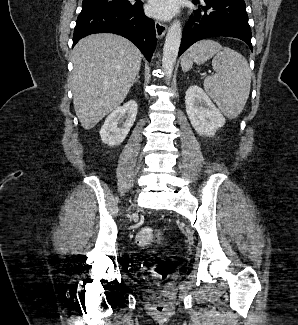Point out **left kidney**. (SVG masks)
<instances>
[{"instance_id":"1","label":"left kidney","mask_w":298,"mask_h":325,"mask_svg":"<svg viewBox=\"0 0 298 325\" xmlns=\"http://www.w3.org/2000/svg\"><path fill=\"white\" fill-rule=\"evenodd\" d=\"M185 108L193 128L200 136H214L217 128L224 126L226 122L225 116L198 84L188 86L185 92Z\"/></svg>"}]
</instances>
